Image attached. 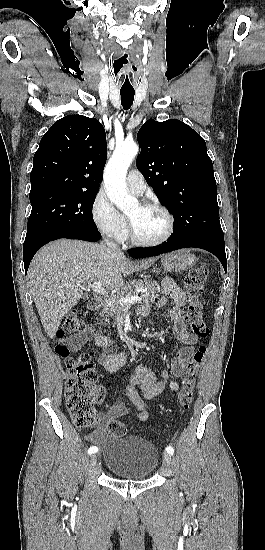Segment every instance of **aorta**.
<instances>
[{"mask_svg": "<svg viewBox=\"0 0 265 550\" xmlns=\"http://www.w3.org/2000/svg\"><path fill=\"white\" fill-rule=\"evenodd\" d=\"M139 147L134 142L117 145L104 170V186L108 198L116 207L127 210L137 203L127 192V170L137 155Z\"/></svg>", "mask_w": 265, "mask_h": 550, "instance_id": "obj_1", "label": "aorta"}]
</instances>
